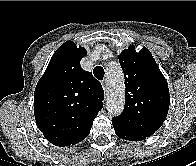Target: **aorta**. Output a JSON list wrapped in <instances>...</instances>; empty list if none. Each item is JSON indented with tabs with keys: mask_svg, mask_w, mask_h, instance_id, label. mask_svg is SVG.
<instances>
[{
	"mask_svg": "<svg viewBox=\"0 0 196 166\" xmlns=\"http://www.w3.org/2000/svg\"><path fill=\"white\" fill-rule=\"evenodd\" d=\"M107 110L110 114L118 116L124 109L125 85L121 68L116 64L107 69Z\"/></svg>",
	"mask_w": 196,
	"mask_h": 166,
	"instance_id": "1",
	"label": "aorta"
}]
</instances>
